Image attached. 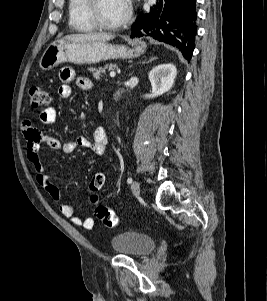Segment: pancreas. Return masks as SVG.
I'll list each match as a JSON object with an SVG mask.
<instances>
[{"mask_svg":"<svg viewBox=\"0 0 267 301\" xmlns=\"http://www.w3.org/2000/svg\"><path fill=\"white\" fill-rule=\"evenodd\" d=\"M116 67L115 64H106L98 68H90V71L93 72V76L96 80H100V77L105 75L107 69L111 70Z\"/></svg>","mask_w":267,"mask_h":301,"instance_id":"cf45deb5","label":"pancreas"}]
</instances>
